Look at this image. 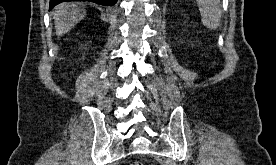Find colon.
Returning a JSON list of instances; mask_svg holds the SVG:
<instances>
[{
	"label": "colon",
	"instance_id": "5ec220e1",
	"mask_svg": "<svg viewBox=\"0 0 276 165\" xmlns=\"http://www.w3.org/2000/svg\"><path fill=\"white\" fill-rule=\"evenodd\" d=\"M131 165H144V164L141 163V162H134V163H132Z\"/></svg>",
	"mask_w": 276,
	"mask_h": 165
}]
</instances>
